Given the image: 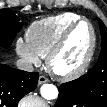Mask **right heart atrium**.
Here are the masks:
<instances>
[{
  "label": "right heart atrium",
  "instance_id": "1",
  "mask_svg": "<svg viewBox=\"0 0 107 107\" xmlns=\"http://www.w3.org/2000/svg\"><path fill=\"white\" fill-rule=\"evenodd\" d=\"M17 54L28 64H40V55L31 47L27 40L18 38L15 43Z\"/></svg>",
  "mask_w": 107,
  "mask_h": 107
}]
</instances>
